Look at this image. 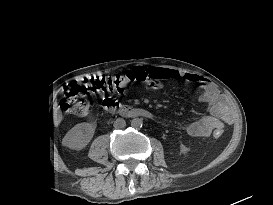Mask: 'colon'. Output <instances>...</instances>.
I'll return each instance as SVG.
<instances>
[{
    "label": "colon",
    "instance_id": "5ec220e1",
    "mask_svg": "<svg viewBox=\"0 0 273 205\" xmlns=\"http://www.w3.org/2000/svg\"><path fill=\"white\" fill-rule=\"evenodd\" d=\"M149 81L161 82L164 80L154 74L150 75L147 68H135L125 74L96 76L84 83L83 86L74 88L65 100L60 101V106L61 109L70 114H84L88 106L84 101L79 99V93L91 91L123 92L129 84ZM221 136L222 130L214 131V137L219 138Z\"/></svg>",
    "mask_w": 273,
    "mask_h": 205
}]
</instances>
